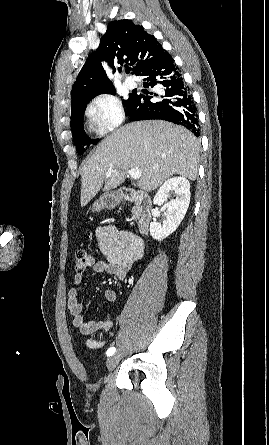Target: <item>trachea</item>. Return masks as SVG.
<instances>
[{
    "instance_id": "trachea-1",
    "label": "trachea",
    "mask_w": 269,
    "mask_h": 445,
    "mask_svg": "<svg viewBox=\"0 0 269 445\" xmlns=\"http://www.w3.org/2000/svg\"><path fill=\"white\" fill-rule=\"evenodd\" d=\"M126 72L129 73V72H130V69H126Z\"/></svg>"
}]
</instances>
